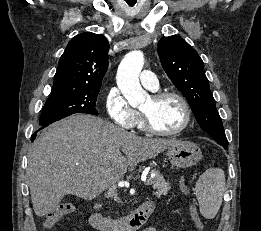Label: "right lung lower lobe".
<instances>
[{
    "label": "right lung lower lobe",
    "mask_w": 261,
    "mask_h": 231,
    "mask_svg": "<svg viewBox=\"0 0 261 231\" xmlns=\"http://www.w3.org/2000/svg\"><path fill=\"white\" fill-rule=\"evenodd\" d=\"M49 125V124H48ZM47 125H44L42 128H44V127H46ZM41 128V129H42ZM35 137H36V134L34 133L33 135H32V137H31V141H33L34 139H35Z\"/></svg>",
    "instance_id": "1"
}]
</instances>
